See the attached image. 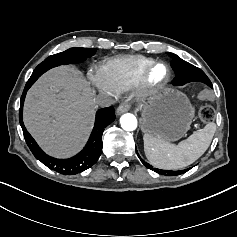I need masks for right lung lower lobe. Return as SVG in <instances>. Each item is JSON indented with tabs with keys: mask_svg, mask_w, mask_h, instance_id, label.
Instances as JSON below:
<instances>
[{
	"mask_svg": "<svg viewBox=\"0 0 237 237\" xmlns=\"http://www.w3.org/2000/svg\"><path fill=\"white\" fill-rule=\"evenodd\" d=\"M35 82V81H34ZM29 79L24 88L19 110V121L23 129L24 138L33 155L50 169L64 175H75L94 165L102 152V134L104 128L115 120V110L113 107L103 108L97 111L96 120L91 136L84 149L76 156L69 159H56L48 156L39 148L35 140L26 130L23 124V104L26 92L34 83Z\"/></svg>",
	"mask_w": 237,
	"mask_h": 237,
	"instance_id": "98d812e1",
	"label": "right lung lower lobe"
}]
</instances>
